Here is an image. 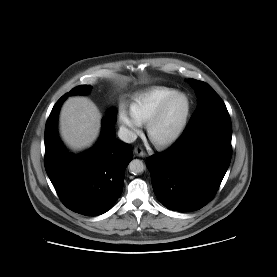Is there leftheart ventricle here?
Masks as SVG:
<instances>
[{
    "instance_id": "left-heart-ventricle-1",
    "label": "left heart ventricle",
    "mask_w": 277,
    "mask_h": 277,
    "mask_svg": "<svg viewBox=\"0 0 277 277\" xmlns=\"http://www.w3.org/2000/svg\"><path fill=\"white\" fill-rule=\"evenodd\" d=\"M187 102L183 96L176 97L166 108L153 134L158 139L171 135L179 126L186 112Z\"/></svg>"
}]
</instances>
